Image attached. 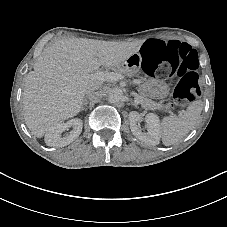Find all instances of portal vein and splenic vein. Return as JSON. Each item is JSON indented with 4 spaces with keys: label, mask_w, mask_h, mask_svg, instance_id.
<instances>
[{
    "label": "portal vein and splenic vein",
    "mask_w": 227,
    "mask_h": 227,
    "mask_svg": "<svg viewBox=\"0 0 227 227\" xmlns=\"http://www.w3.org/2000/svg\"><path fill=\"white\" fill-rule=\"evenodd\" d=\"M94 78H97L103 81H120L125 79V75L119 72H102L100 75L94 76ZM134 104L139 105L140 100L135 99ZM179 114H182V111H179Z\"/></svg>",
    "instance_id": "obj_1"
}]
</instances>
